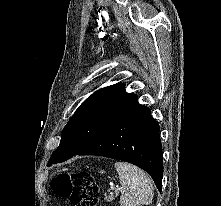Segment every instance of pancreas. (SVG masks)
Returning <instances> with one entry per match:
<instances>
[{"label":"pancreas","instance_id":"obj_1","mask_svg":"<svg viewBox=\"0 0 221 206\" xmlns=\"http://www.w3.org/2000/svg\"><path fill=\"white\" fill-rule=\"evenodd\" d=\"M116 195H117V193H116ZM114 198H115L114 195H108V196L106 197V200L110 202V201L114 200Z\"/></svg>","mask_w":221,"mask_h":206}]
</instances>
